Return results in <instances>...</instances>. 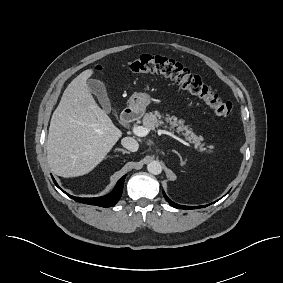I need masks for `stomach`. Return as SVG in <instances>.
<instances>
[{
    "label": "stomach",
    "mask_w": 283,
    "mask_h": 283,
    "mask_svg": "<svg viewBox=\"0 0 283 283\" xmlns=\"http://www.w3.org/2000/svg\"><path fill=\"white\" fill-rule=\"evenodd\" d=\"M151 103V96L143 92H135L129 99V109L135 114L142 115Z\"/></svg>",
    "instance_id": "obj_1"
}]
</instances>
